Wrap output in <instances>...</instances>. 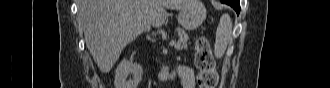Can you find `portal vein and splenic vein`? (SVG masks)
Instances as JSON below:
<instances>
[{
  "label": "portal vein and splenic vein",
  "instance_id": "1",
  "mask_svg": "<svg viewBox=\"0 0 330 88\" xmlns=\"http://www.w3.org/2000/svg\"><path fill=\"white\" fill-rule=\"evenodd\" d=\"M169 45H170V46H176V41H174V40L171 41V42L169 43Z\"/></svg>",
  "mask_w": 330,
  "mask_h": 88
}]
</instances>
